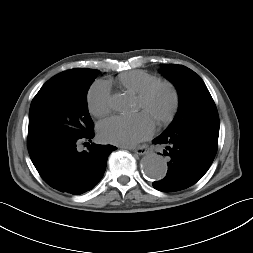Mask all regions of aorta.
<instances>
[{
    "instance_id": "aorta-1",
    "label": "aorta",
    "mask_w": 253,
    "mask_h": 253,
    "mask_svg": "<svg viewBox=\"0 0 253 253\" xmlns=\"http://www.w3.org/2000/svg\"><path fill=\"white\" fill-rule=\"evenodd\" d=\"M111 106L119 112H128L132 109V99L124 94H115L111 99ZM142 173L151 180H161L167 173V164L156 153H148L141 159Z\"/></svg>"
}]
</instances>
